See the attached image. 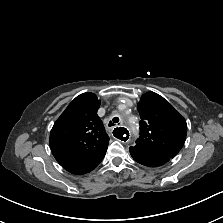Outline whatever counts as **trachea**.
I'll return each mask as SVG.
<instances>
[{
	"mask_svg": "<svg viewBox=\"0 0 223 223\" xmlns=\"http://www.w3.org/2000/svg\"><path fill=\"white\" fill-rule=\"evenodd\" d=\"M116 124H120V123H119V118H118V117H114V118L112 119V121L109 122L108 126L111 127V126H114V125H116Z\"/></svg>",
	"mask_w": 223,
	"mask_h": 223,
	"instance_id": "3493384b",
	"label": "trachea"
}]
</instances>
